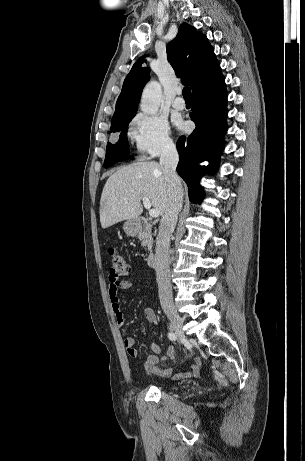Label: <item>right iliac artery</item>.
Instances as JSON below:
<instances>
[{"mask_svg":"<svg viewBox=\"0 0 305 461\" xmlns=\"http://www.w3.org/2000/svg\"><path fill=\"white\" fill-rule=\"evenodd\" d=\"M168 338L172 341H175L177 339V335L173 332L168 333Z\"/></svg>","mask_w":305,"mask_h":461,"instance_id":"right-iliac-artery-1","label":"right iliac artery"}]
</instances>
